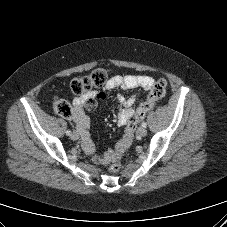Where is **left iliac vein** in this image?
<instances>
[{"label": "left iliac vein", "mask_w": 227, "mask_h": 227, "mask_svg": "<svg viewBox=\"0 0 227 227\" xmlns=\"http://www.w3.org/2000/svg\"><path fill=\"white\" fill-rule=\"evenodd\" d=\"M147 134V130L143 127H140L138 130H137V135L139 136H145Z\"/></svg>", "instance_id": "obj_1"}]
</instances>
